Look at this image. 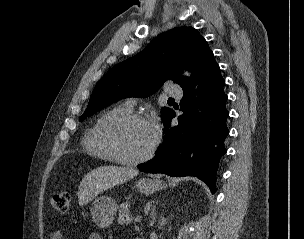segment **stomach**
<instances>
[{"mask_svg": "<svg viewBox=\"0 0 304 239\" xmlns=\"http://www.w3.org/2000/svg\"><path fill=\"white\" fill-rule=\"evenodd\" d=\"M162 188H164V184L158 179L143 178L137 182V189L142 194H152ZM117 210V202L108 196L96 198L90 206L92 219L100 228L111 225Z\"/></svg>", "mask_w": 304, "mask_h": 239, "instance_id": "stomach-1", "label": "stomach"}]
</instances>
